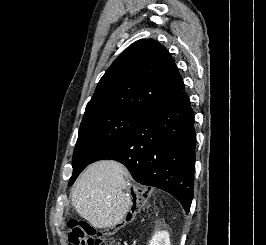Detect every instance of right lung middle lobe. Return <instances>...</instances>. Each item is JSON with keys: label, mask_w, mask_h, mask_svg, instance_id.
Returning <instances> with one entry per match:
<instances>
[{"label": "right lung middle lobe", "mask_w": 266, "mask_h": 245, "mask_svg": "<svg viewBox=\"0 0 266 245\" xmlns=\"http://www.w3.org/2000/svg\"><path fill=\"white\" fill-rule=\"evenodd\" d=\"M144 115L107 110L83 117L73 154L72 185L81 171L102 152L118 142Z\"/></svg>", "instance_id": "dd1d6c3e"}]
</instances>
